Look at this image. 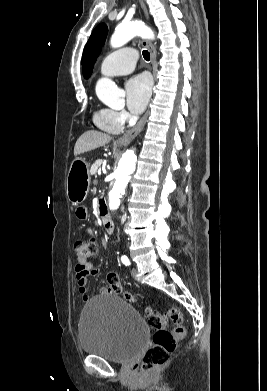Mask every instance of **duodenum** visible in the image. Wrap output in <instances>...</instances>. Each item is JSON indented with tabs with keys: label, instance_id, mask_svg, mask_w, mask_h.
<instances>
[{
	"label": "duodenum",
	"instance_id": "1",
	"mask_svg": "<svg viewBox=\"0 0 267 391\" xmlns=\"http://www.w3.org/2000/svg\"><path fill=\"white\" fill-rule=\"evenodd\" d=\"M100 213H101V219H102V225L104 229L111 233L114 229L113 221L106 215V208L104 204H100Z\"/></svg>",
	"mask_w": 267,
	"mask_h": 391
}]
</instances>
